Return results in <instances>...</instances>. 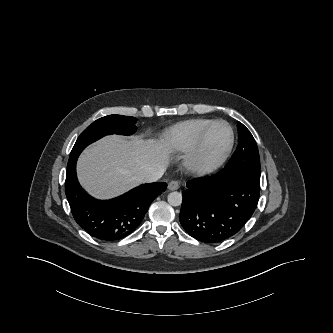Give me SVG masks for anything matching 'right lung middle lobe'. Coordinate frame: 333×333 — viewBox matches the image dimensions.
<instances>
[{
  "mask_svg": "<svg viewBox=\"0 0 333 333\" xmlns=\"http://www.w3.org/2000/svg\"><path fill=\"white\" fill-rule=\"evenodd\" d=\"M136 118L123 115H109L94 121L78 137L70 153L67 165L77 161L83 149L92 142L109 134L130 135L136 131Z\"/></svg>",
  "mask_w": 333,
  "mask_h": 333,
  "instance_id": "right-lung-middle-lobe-1",
  "label": "right lung middle lobe"
}]
</instances>
